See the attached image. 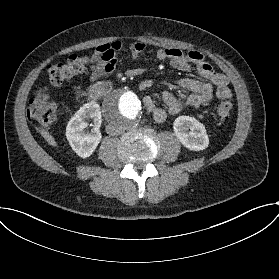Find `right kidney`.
I'll list each match as a JSON object with an SVG mask.
<instances>
[{"instance_id": "ca27d5eb", "label": "right kidney", "mask_w": 279, "mask_h": 279, "mask_svg": "<svg viewBox=\"0 0 279 279\" xmlns=\"http://www.w3.org/2000/svg\"><path fill=\"white\" fill-rule=\"evenodd\" d=\"M86 118H90L93 127L90 132ZM102 123L101 109L98 103L91 101L84 104L69 120L66 126V137L72 150L81 158H89L97 149L102 139L99 127Z\"/></svg>"}]
</instances>
